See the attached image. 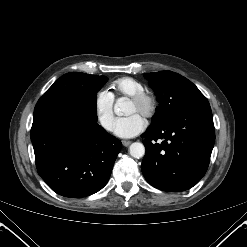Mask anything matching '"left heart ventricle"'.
Returning <instances> with one entry per match:
<instances>
[{
	"mask_svg": "<svg viewBox=\"0 0 247 247\" xmlns=\"http://www.w3.org/2000/svg\"><path fill=\"white\" fill-rule=\"evenodd\" d=\"M133 113H139L140 115H143L142 109L139 106H137L136 104H134L132 102H129L127 110H126V114L130 115Z\"/></svg>",
	"mask_w": 247,
	"mask_h": 247,
	"instance_id": "left-heart-ventricle-1",
	"label": "left heart ventricle"
}]
</instances>
